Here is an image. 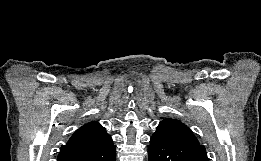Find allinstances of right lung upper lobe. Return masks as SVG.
Masks as SVG:
<instances>
[{"label": "right lung upper lobe", "mask_w": 261, "mask_h": 161, "mask_svg": "<svg viewBox=\"0 0 261 161\" xmlns=\"http://www.w3.org/2000/svg\"><path fill=\"white\" fill-rule=\"evenodd\" d=\"M112 143L104 127L97 122H90L80 127L61 147L58 158L100 150Z\"/></svg>", "instance_id": "right-lung-upper-lobe-1"}]
</instances>
